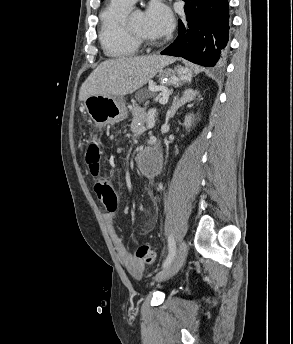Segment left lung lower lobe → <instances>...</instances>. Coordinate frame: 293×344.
<instances>
[{"label":"left lung lower lobe","mask_w":293,"mask_h":344,"mask_svg":"<svg viewBox=\"0 0 293 344\" xmlns=\"http://www.w3.org/2000/svg\"><path fill=\"white\" fill-rule=\"evenodd\" d=\"M192 3L193 7H188V4L184 7L189 29L179 20L176 40L161 54L183 57L193 63L213 67L226 56L229 33L228 1L193 0Z\"/></svg>","instance_id":"0a47b994"}]
</instances>
